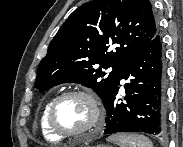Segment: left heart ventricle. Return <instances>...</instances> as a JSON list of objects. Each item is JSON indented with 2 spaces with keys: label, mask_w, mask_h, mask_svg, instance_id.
Segmentation results:
<instances>
[{
  "label": "left heart ventricle",
  "mask_w": 183,
  "mask_h": 147,
  "mask_svg": "<svg viewBox=\"0 0 183 147\" xmlns=\"http://www.w3.org/2000/svg\"><path fill=\"white\" fill-rule=\"evenodd\" d=\"M92 120V109L88 101L80 96L64 99L55 111L56 124L66 131L85 128Z\"/></svg>",
  "instance_id": "left-heart-ventricle-1"
}]
</instances>
